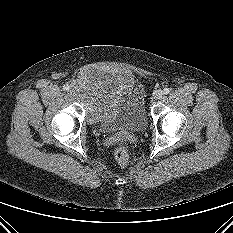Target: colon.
<instances>
[{
  "label": "colon",
  "mask_w": 233,
  "mask_h": 233,
  "mask_svg": "<svg viewBox=\"0 0 233 233\" xmlns=\"http://www.w3.org/2000/svg\"><path fill=\"white\" fill-rule=\"evenodd\" d=\"M115 159L121 166H127L130 160L128 150L124 146H118L114 151Z\"/></svg>",
  "instance_id": "5ec220e1"
}]
</instances>
